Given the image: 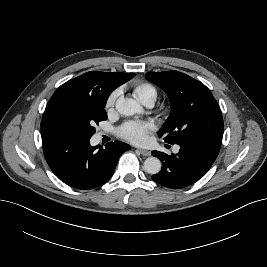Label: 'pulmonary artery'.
I'll return each instance as SVG.
<instances>
[{
  "label": "pulmonary artery",
  "mask_w": 267,
  "mask_h": 267,
  "mask_svg": "<svg viewBox=\"0 0 267 267\" xmlns=\"http://www.w3.org/2000/svg\"><path fill=\"white\" fill-rule=\"evenodd\" d=\"M153 104H154L153 102H148V103H146L145 105L148 106V107H152ZM178 150H179V147L176 146V147L174 148V151L177 152Z\"/></svg>",
  "instance_id": "e3ab8cb5"
}]
</instances>
